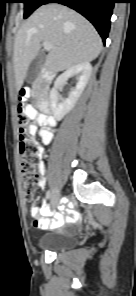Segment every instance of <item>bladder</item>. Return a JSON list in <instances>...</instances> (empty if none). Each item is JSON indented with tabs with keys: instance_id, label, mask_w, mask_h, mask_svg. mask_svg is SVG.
Listing matches in <instances>:
<instances>
[{
	"instance_id": "31cf9c89",
	"label": "bladder",
	"mask_w": 136,
	"mask_h": 296,
	"mask_svg": "<svg viewBox=\"0 0 136 296\" xmlns=\"http://www.w3.org/2000/svg\"><path fill=\"white\" fill-rule=\"evenodd\" d=\"M76 236L72 233H60L44 236L39 242L41 250L56 251L73 246Z\"/></svg>"
}]
</instances>
